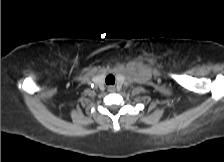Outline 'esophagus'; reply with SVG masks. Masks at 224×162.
Instances as JSON below:
<instances>
[{
  "instance_id": "obj_1",
  "label": "esophagus",
  "mask_w": 224,
  "mask_h": 162,
  "mask_svg": "<svg viewBox=\"0 0 224 162\" xmlns=\"http://www.w3.org/2000/svg\"><path fill=\"white\" fill-rule=\"evenodd\" d=\"M108 91L113 92V91H115V88L113 86H109Z\"/></svg>"
}]
</instances>
